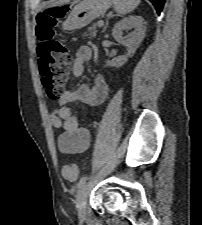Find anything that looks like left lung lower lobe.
Segmentation results:
<instances>
[{
    "label": "left lung lower lobe",
    "mask_w": 202,
    "mask_h": 225,
    "mask_svg": "<svg viewBox=\"0 0 202 225\" xmlns=\"http://www.w3.org/2000/svg\"><path fill=\"white\" fill-rule=\"evenodd\" d=\"M150 2L153 3L157 13L160 14L163 8V4L165 3V0H150Z\"/></svg>",
    "instance_id": "obj_1"
}]
</instances>
